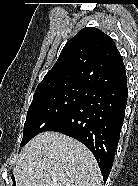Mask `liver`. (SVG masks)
Returning a JSON list of instances; mask_svg holds the SVG:
<instances>
[{
	"mask_svg": "<svg viewBox=\"0 0 138 186\" xmlns=\"http://www.w3.org/2000/svg\"><path fill=\"white\" fill-rule=\"evenodd\" d=\"M16 186H102L91 151L58 132H42L22 149L13 169Z\"/></svg>",
	"mask_w": 138,
	"mask_h": 186,
	"instance_id": "liver-1",
	"label": "liver"
}]
</instances>
